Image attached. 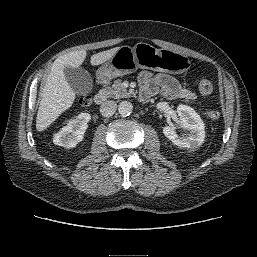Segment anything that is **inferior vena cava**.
I'll return each mask as SVG.
<instances>
[{"label": "inferior vena cava", "mask_w": 257, "mask_h": 257, "mask_svg": "<svg viewBox=\"0 0 257 257\" xmlns=\"http://www.w3.org/2000/svg\"><path fill=\"white\" fill-rule=\"evenodd\" d=\"M117 109V104L115 101H106L100 107V112L104 117H111Z\"/></svg>", "instance_id": "obj_1"}]
</instances>
